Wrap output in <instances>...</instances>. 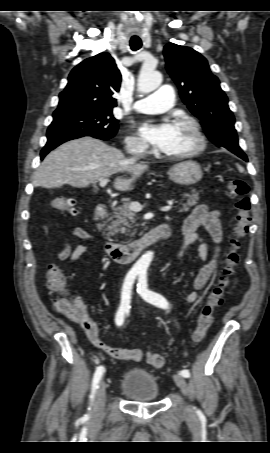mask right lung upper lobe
I'll return each mask as SVG.
<instances>
[{"instance_id":"cb5924a9","label":"right lung upper lobe","mask_w":270,"mask_h":453,"mask_svg":"<svg viewBox=\"0 0 270 453\" xmlns=\"http://www.w3.org/2000/svg\"><path fill=\"white\" fill-rule=\"evenodd\" d=\"M121 74L109 53H100L77 65L59 95L53 117L85 111H108L117 105Z\"/></svg>"}]
</instances>
